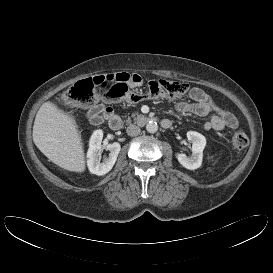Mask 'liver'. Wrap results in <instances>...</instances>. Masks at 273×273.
Here are the masks:
<instances>
[{
	"label": "liver",
	"instance_id": "liver-1",
	"mask_svg": "<svg viewBox=\"0 0 273 273\" xmlns=\"http://www.w3.org/2000/svg\"><path fill=\"white\" fill-rule=\"evenodd\" d=\"M33 141L59 167L78 173L85 171L81 132L75 118L57 104L47 101L38 110L33 126Z\"/></svg>",
	"mask_w": 273,
	"mask_h": 273
}]
</instances>
